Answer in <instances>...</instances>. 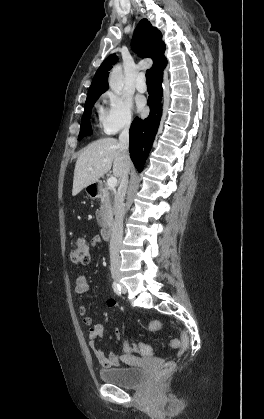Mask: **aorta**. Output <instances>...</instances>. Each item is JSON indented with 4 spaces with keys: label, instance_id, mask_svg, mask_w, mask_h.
<instances>
[{
    "label": "aorta",
    "instance_id": "obj_1",
    "mask_svg": "<svg viewBox=\"0 0 264 419\" xmlns=\"http://www.w3.org/2000/svg\"><path fill=\"white\" fill-rule=\"evenodd\" d=\"M109 87L115 93H120L123 89V71L121 65H115L109 74Z\"/></svg>",
    "mask_w": 264,
    "mask_h": 419
}]
</instances>
